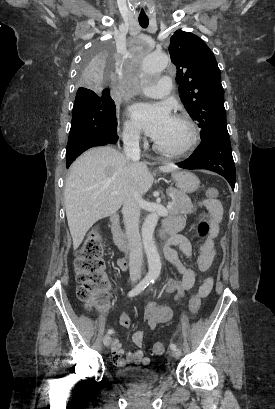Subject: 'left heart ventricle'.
Wrapping results in <instances>:
<instances>
[{"label":"left heart ventricle","mask_w":275,"mask_h":409,"mask_svg":"<svg viewBox=\"0 0 275 409\" xmlns=\"http://www.w3.org/2000/svg\"><path fill=\"white\" fill-rule=\"evenodd\" d=\"M187 136L188 130L186 126L171 118L161 131L152 138L161 146L176 148L186 141Z\"/></svg>","instance_id":"b2bd125f"}]
</instances>
